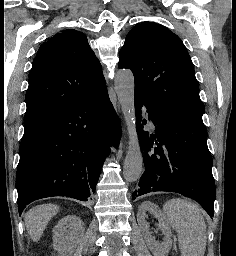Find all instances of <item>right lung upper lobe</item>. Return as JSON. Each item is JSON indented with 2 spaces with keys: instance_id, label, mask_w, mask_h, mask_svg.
<instances>
[{
  "instance_id": "1",
  "label": "right lung upper lobe",
  "mask_w": 236,
  "mask_h": 256,
  "mask_svg": "<svg viewBox=\"0 0 236 256\" xmlns=\"http://www.w3.org/2000/svg\"><path fill=\"white\" fill-rule=\"evenodd\" d=\"M105 89L100 62L86 36L63 30L41 45L33 61L24 122L44 123Z\"/></svg>"
}]
</instances>
